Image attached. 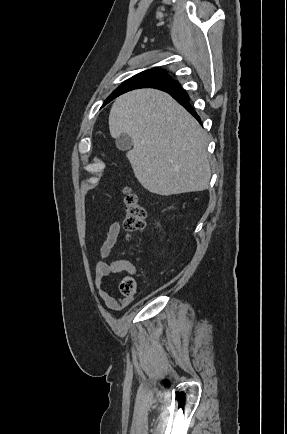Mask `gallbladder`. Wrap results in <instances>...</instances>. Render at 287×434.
I'll return each mask as SVG.
<instances>
[{
    "label": "gallbladder",
    "instance_id": "1",
    "mask_svg": "<svg viewBox=\"0 0 287 434\" xmlns=\"http://www.w3.org/2000/svg\"><path fill=\"white\" fill-rule=\"evenodd\" d=\"M116 146L121 151H128L133 146L132 139L126 133H122L119 137L116 138Z\"/></svg>",
    "mask_w": 287,
    "mask_h": 434
}]
</instances>
